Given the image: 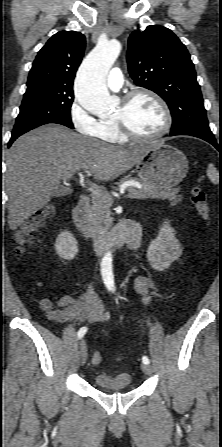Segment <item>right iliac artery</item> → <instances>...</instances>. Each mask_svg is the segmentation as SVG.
Wrapping results in <instances>:
<instances>
[{
  "label": "right iliac artery",
  "instance_id": "1",
  "mask_svg": "<svg viewBox=\"0 0 222 447\" xmlns=\"http://www.w3.org/2000/svg\"><path fill=\"white\" fill-rule=\"evenodd\" d=\"M86 332H87V327L80 328L77 333L78 338L79 339L82 338L86 334Z\"/></svg>",
  "mask_w": 222,
  "mask_h": 447
}]
</instances>
